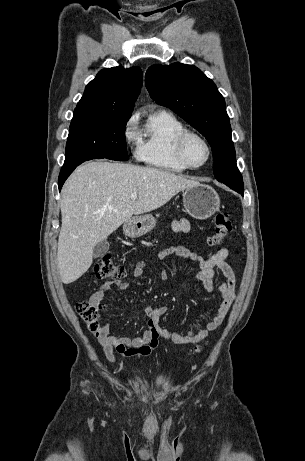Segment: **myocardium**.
<instances>
[{"label":"myocardium","mask_w":305,"mask_h":461,"mask_svg":"<svg viewBox=\"0 0 305 461\" xmlns=\"http://www.w3.org/2000/svg\"><path fill=\"white\" fill-rule=\"evenodd\" d=\"M190 137H195L199 139L205 145L206 150H207V157L205 161L199 165H194L190 163V161L188 160L185 154V144H186L187 139ZM175 151H176V155L178 159L189 169H198V168L205 166L209 162L212 156V148L208 140L199 132H196L194 130H189V129H185L183 132H181L178 135L176 142H175Z\"/></svg>","instance_id":"f54148a6"}]
</instances>
